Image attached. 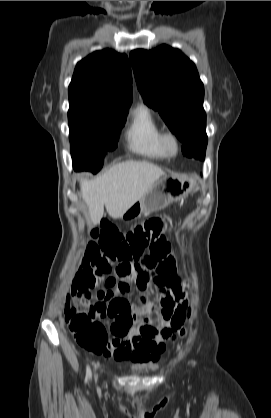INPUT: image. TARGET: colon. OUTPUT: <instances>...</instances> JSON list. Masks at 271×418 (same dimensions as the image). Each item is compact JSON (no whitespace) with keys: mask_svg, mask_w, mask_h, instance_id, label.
<instances>
[{"mask_svg":"<svg viewBox=\"0 0 271 418\" xmlns=\"http://www.w3.org/2000/svg\"><path fill=\"white\" fill-rule=\"evenodd\" d=\"M164 228L165 221L160 217L149 218L127 232L119 231L110 222H103L99 228L91 232L92 240L87 246L83 266L75 277V283H80L84 276L87 284L93 285L95 278L90 273V265L100 258L130 262L138 260L143 255H148L146 252L149 244L163 237ZM167 251L169 253L168 245ZM158 266L159 271H162L161 262L158 263ZM90 299L89 287L73 290L65 305V320L77 343L87 350L97 352L105 348L111 339L107 337L108 331L105 324L96 322L97 314L89 313L90 305L87 310L82 308L83 301L90 302ZM70 301L73 305L70 304ZM186 315L184 310L164 312L165 318L170 323V327L163 332L166 338L175 339L177 335L185 333L183 325ZM142 332L146 334L148 330L142 328Z\"/></svg>","mask_w":271,"mask_h":418,"instance_id":"colon-1","label":"colon"}]
</instances>
